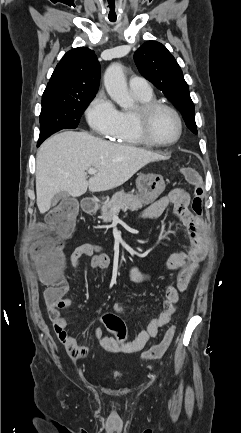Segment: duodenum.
Returning a JSON list of instances; mask_svg holds the SVG:
<instances>
[{"label":"duodenum","instance_id":"obj_1","mask_svg":"<svg viewBox=\"0 0 241 433\" xmlns=\"http://www.w3.org/2000/svg\"><path fill=\"white\" fill-rule=\"evenodd\" d=\"M82 210L87 213L91 214L93 213L97 208V203L94 199L90 197H85L81 201Z\"/></svg>","mask_w":241,"mask_h":433}]
</instances>
